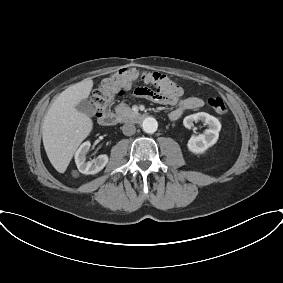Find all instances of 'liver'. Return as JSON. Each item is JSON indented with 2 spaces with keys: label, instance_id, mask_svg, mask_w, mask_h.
Here are the masks:
<instances>
[{
  "label": "liver",
  "instance_id": "1",
  "mask_svg": "<svg viewBox=\"0 0 283 283\" xmlns=\"http://www.w3.org/2000/svg\"><path fill=\"white\" fill-rule=\"evenodd\" d=\"M93 80L86 78L64 90L49 108L42 125L43 145L52 166L64 173L93 122L75 107L89 97Z\"/></svg>",
  "mask_w": 283,
  "mask_h": 283
}]
</instances>
